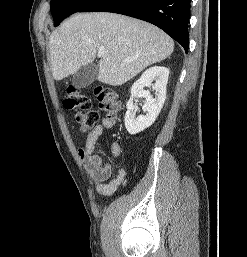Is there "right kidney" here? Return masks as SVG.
I'll list each match as a JSON object with an SVG mask.
<instances>
[{"instance_id": "obj_1", "label": "right kidney", "mask_w": 247, "mask_h": 257, "mask_svg": "<svg viewBox=\"0 0 247 257\" xmlns=\"http://www.w3.org/2000/svg\"><path fill=\"white\" fill-rule=\"evenodd\" d=\"M169 77V69L162 66H154L147 69L141 77L132 85L131 97L127 102V112L125 114V127L129 134H137L150 127L158 117L166 99V85ZM155 81L154 84L152 82ZM152 86L155 91V98L144 87ZM141 97L145 99L142 107L145 115L135 118L133 112V98Z\"/></svg>"}]
</instances>
